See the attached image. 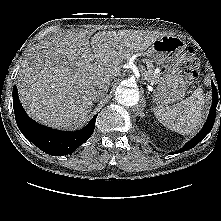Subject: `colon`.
I'll list each match as a JSON object with an SVG mask.
<instances>
[{"mask_svg": "<svg viewBox=\"0 0 221 221\" xmlns=\"http://www.w3.org/2000/svg\"><path fill=\"white\" fill-rule=\"evenodd\" d=\"M199 60L194 55V51L192 48H188L187 56L185 59V69L184 74L185 78L188 82H195L199 77Z\"/></svg>", "mask_w": 221, "mask_h": 221, "instance_id": "colon-1", "label": "colon"}]
</instances>
